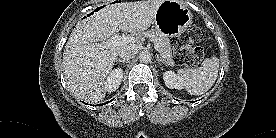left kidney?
<instances>
[{
	"label": "left kidney",
	"mask_w": 276,
	"mask_h": 138,
	"mask_svg": "<svg viewBox=\"0 0 276 138\" xmlns=\"http://www.w3.org/2000/svg\"><path fill=\"white\" fill-rule=\"evenodd\" d=\"M163 79H164L165 85L168 88H170V89L175 88L178 90L183 89V86H184L183 80L178 75H176L174 72L166 71L163 74Z\"/></svg>",
	"instance_id": "obj_1"
}]
</instances>
